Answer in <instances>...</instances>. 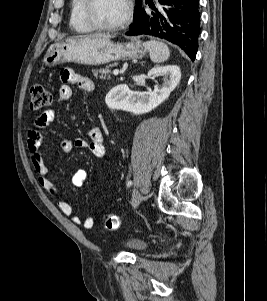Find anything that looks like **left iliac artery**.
Here are the masks:
<instances>
[{"label":"left iliac artery","mask_w":267,"mask_h":301,"mask_svg":"<svg viewBox=\"0 0 267 301\" xmlns=\"http://www.w3.org/2000/svg\"><path fill=\"white\" fill-rule=\"evenodd\" d=\"M132 184H133V183H132V181H131V180H129V181H127V184H126V185H127V187H131V186H132Z\"/></svg>","instance_id":"obj_1"}]
</instances>
